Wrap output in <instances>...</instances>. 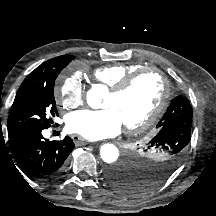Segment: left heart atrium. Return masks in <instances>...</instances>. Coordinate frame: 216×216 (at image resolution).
I'll return each mask as SVG.
<instances>
[{
    "mask_svg": "<svg viewBox=\"0 0 216 216\" xmlns=\"http://www.w3.org/2000/svg\"><path fill=\"white\" fill-rule=\"evenodd\" d=\"M122 121L111 108L79 110L66 117V129L88 140H99L117 135Z\"/></svg>",
    "mask_w": 216,
    "mask_h": 216,
    "instance_id": "1",
    "label": "left heart atrium"
}]
</instances>
